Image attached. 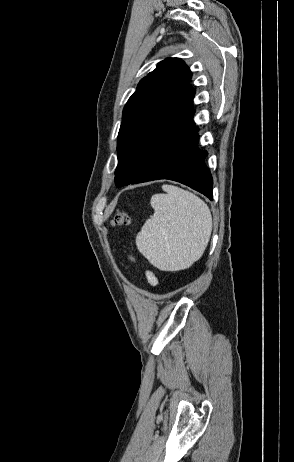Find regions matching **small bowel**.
I'll list each match as a JSON object with an SVG mask.
<instances>
[{
	"mask_svg": "<svg viewBox=\"0 0 294 462\" xmlns=\"http://www.w3.org/2000/svg\"><path fill=\"white\" fill-rule=\"evenodd\" d=\"M146 278H147V281L149 282V284L151 286H157L158 285V279L156 278V276L151 271L146 272Z\"/></svg>",
	"mask_w": 294,
	"mask_h": 462,
	"instance_id": "small-bowel-1",
	"label": "small bowel"
}]
</instances>
